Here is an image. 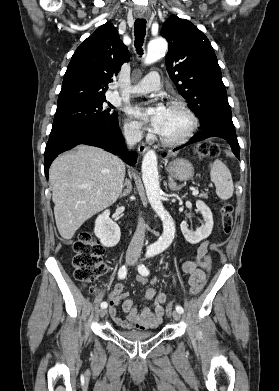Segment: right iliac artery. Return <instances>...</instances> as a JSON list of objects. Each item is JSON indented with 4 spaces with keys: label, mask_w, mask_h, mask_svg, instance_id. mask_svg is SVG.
Returning a JSON list of instances; mask_svg holds the SVG:
<instances>
[{
    "label": "right iliac artery",
    "mask_w": 279,
    "mask_h": 391,
    "mask_svg": "<svg viewBox=\"0 0 279 391\" xmlns=\"http://www.w3.org/2000/svg\"><path fill=\"white\" fill-rule=\"evenodd\" d=\"M127 275V268L125 265H123L120 269H119V272H118V277L120 279H124ZM108 304L107 302H102L101 303V308H107Z\"/></svg>",
    "instance_id": "1"
}]
</instances>
